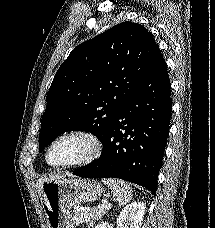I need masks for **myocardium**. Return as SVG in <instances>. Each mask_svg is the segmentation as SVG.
<instances>
[{
    "label": "myocardium",
    "mask_w": 215,
    "mask_h": 228,
    "mask_svg": "<svg viewBox=\"0 0 215 228\" xmlns=\"http://www.w3.org/2000/svg\"><path fill=\"white\" fill-rule=\"evenodd\" d=\"M67 139H77L82 141L85 145L84 151L80 156H78L77 158H75L70 162H67L61 165H51L48 161V155L50 151L57 143ZM102 148H103V145L100 138L92 130L84 129V128L70 129L60 133L48 143L43 154V160L46 166L49 167L50 169L63 170L66 168L83 165L93 161L101 154Z\"/></svg>",
    "instance_id": "1"
}]
</instances>
